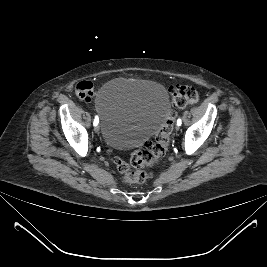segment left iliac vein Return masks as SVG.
I'll list each match as a JSON object with an SVG mask.
<instances>
[{
    "mask_svg": "<svg viewBox=\"0 0 267 267\" xmlns=\"http://www.w3.org/2000/svg\"><path fill=\"white\" fill-rule=\"evenodd\" d=\"M179 128H180L179 125H176V131H179Z\"/></svg>",
    "mask_w": 267,
    "mask_h": 267,
    "instance_id": "1",
    "label": "left iliac vein"
}]
</instances>
